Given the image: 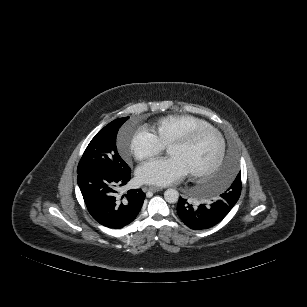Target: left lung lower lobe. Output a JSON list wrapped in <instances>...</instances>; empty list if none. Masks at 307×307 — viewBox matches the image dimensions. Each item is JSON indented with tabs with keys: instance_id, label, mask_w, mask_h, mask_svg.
Masks as SVG:
<instances>
[{
	"instance_id": "0a47b994",
	"label": "left lung lower lobe",
	"mask_w": 307,
	"mask_h": 307,
	"mask_svg": "<svg viewBox=\"0 0 307 307\" xmlns=\"http://www.w3.org/2000/svg\"><path fill=\"white\" fill-rule=\"evenodd\" d=\"M236 201L225 193L212 204L193 206L186 199L180 197L177 205V214L180 219L191 229L203 230L218 224L234 207Z\"/></svg>"
}]
</instances>
